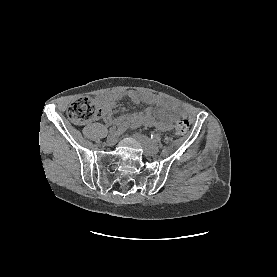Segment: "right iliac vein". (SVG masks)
Returning <instances> with one entry per match:
<instances>
[{"instance_id": "right-iliac-vein-1", "label": "right iliac vein", "mask_w": 277, "mask_h": 277, "mask_svg": "<svg viewBox=\"0 0 277 277\" xmlns=\"http://www.w3.org/2000/svg\"><path fill=\"white\" fill-rule=\"evenodd\" d=\"M118 137H119V133L118 132H112V133H110L108 138H107L106 144L108 146H113L117 142Z\"/></svg>"}]
</instances>
